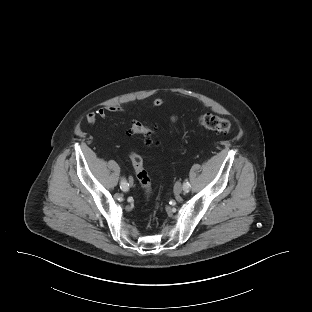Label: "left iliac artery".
Listing matches in <instances>:
<instances>
[{"label":"left iliac artery","mask_w":312,"mask_h":312,"mask_svg":"<svg viewBox=\"0 0 312 312\" xmlns=\"http://www.w3.org/2000/svg\"><path fill=\"white\" fill-rule=\"evenodd\" d=\"M184 191L188 192L190 188V183L186 180L183 185Z\"/></svg>","instance_id":"1"}]
</instances>
